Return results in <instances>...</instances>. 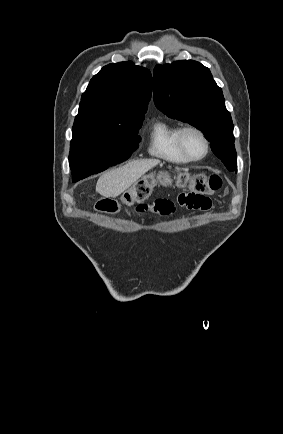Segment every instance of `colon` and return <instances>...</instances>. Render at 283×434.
I'll return each mask as SVG.
<instances>
[{"label":"colon","mask_w":283,"mask_h":434,"mask_svg":"<svg viewBox=\"0 0 283 434\" xmlns=\"http://www.w3.org/2000/svg\"><path fill=\"white\" fill-rule=\"evenodd\" d=\"M158 178L147 176L127 190L119 201L104 199L98 202L97 209L104 213H115L122 205H133L145 201L151 194ZM189 180L193 192L211 195L221 187V178L216 174L200 173L184 179Z\"/></svg>","instance_id":"colon-1"}]
</instances>
